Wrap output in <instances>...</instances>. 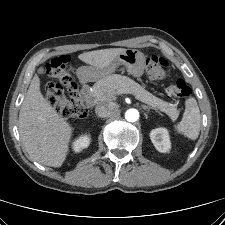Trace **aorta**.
Listing matches in <instances>:
<instances>
[{"label":"aorta","mask_w":225,"mask_h":225,"mask_svg":"<svg viewBox=\"0 0 225 225\" xmlns=\"http://www.w3.org/2000/svg\"><path fill=\"white\" fill-rule=\"evenodd\" d=\"M125 119L128 122H136L139 119V112L137 109L131 108L125 112Z\"/></svg>","instance_id":"obj_1"}]
</instances>
